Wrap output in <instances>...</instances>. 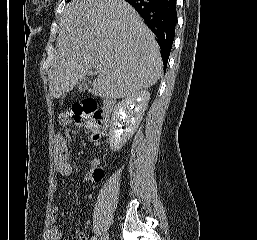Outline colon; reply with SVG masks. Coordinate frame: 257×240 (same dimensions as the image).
Masks as SVG:
<instances>
[{"label":"colon","instance_id":"5ec220e1","mask_svg":"<svg viewBox=\"0 0 257 240\" xmlns=\"http://www.w3.org/2000/svg\"><path fill=\"white\" fill-rule=\"evenodd\" d=\"M66 117L77 124L87 123L88 126L94 130V140L96 142L100 141L102 133L98 129L101 124V113L94 100H84L75 103L66 113ZM96 174L98 176L103 174L101 167L96 169Z\"/></svg>","mask_w":257,"mask_h":240}]
</instances>
